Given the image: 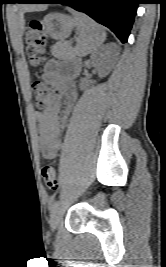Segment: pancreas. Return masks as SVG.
Listing matches in <instances>:
<instances>
[{
  "mask_svg": "<svg viewBox=\"0 0 166 267\" xmlns=\"http://www.w3.org/2000/svg\"><path fill=\"white\" fill-rule=\"evenodd\" d=\"M51 53L59 59H70L75 55L74 49L70 44L64 42H57L51 48Z\"/></svg>",
  "mask_w": 166,
  "mask_h": 267,
  "instance_id": "pancreas-1",
  "label": "pancreas"
}]
</instances>
